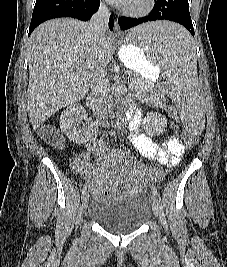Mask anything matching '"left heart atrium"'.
<instances>
[{"label":"left heart atrium","mask_w":227,"mask_h":267,"mask_svg":"<svg viewBox=\"0 0 227 267\" xmlns=\"http://www.w3.org/2000/svg\"><path fill=\"white\" fill-rule=\"evenodd\" d=\"M109 1L117 5L128 6L133 0H109Z\"/></svg>","instance_id":"obj_1"}]
</instances>
